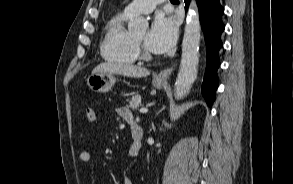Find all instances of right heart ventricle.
Returning <instances> with one entry per match:
<instances>
[{
    "label": "right heart ventricle",
    "instance_id": "1",
    "mask_svg": "<svg viewBox=\"0 0 293 184\" xmlns=\"http://www.w3.org/2000/svg\"><path fill=\"white\" fill-rule=\"evenodd\" d=\"M130 17L124 12L118 13L107 22L100 44L105 60L119 64H132L137 60L133 38L126 29Z\"/></svg>",
    "mask_w": 293,
    "mask_h": 184
}]
</instances>
